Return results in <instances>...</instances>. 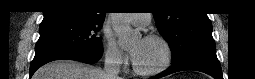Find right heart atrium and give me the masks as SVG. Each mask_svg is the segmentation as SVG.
I'll return each mask as SVG.
<instances>
[{
	"label": "right heart atrium",
	"mask_w": 255,
	"mask_h": 79,
	"mask_svg": "<svg viewBox=\"0 0 255 79\" xmlns=\"http://www.w3.org/2000/svg\"><path fill=\"white\" fill-rule=\"evenodd\" d=\"M106 60L113 66L123 68L128 63L125 53L119 48L113 39H107L105 48Z\"/></svg>",
	"instance_id": "obj_1"
}]
</instances>
